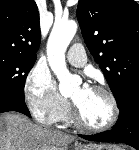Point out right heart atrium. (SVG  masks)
Instances as JSON below:
<instances>
[{
	"label": "right heart atrium",
	"instance_id": "1",
	"mask_svg": "<svg viewBox=\"0 0 139 150\" xmlns=\"http://www.w3.org/2000/svg\"><path fill=\"white\" fill-rule=\"evenodd\" d=\"M25 101L35 120L43 125L60 121L69 110V102L55 88L49 73L35 66L24 84Z\"/></svg>",
	"mask_w": 139,
	"mask_h": 150
}]
</instances>
